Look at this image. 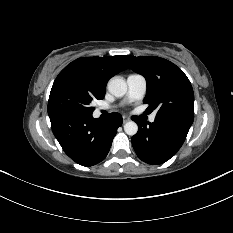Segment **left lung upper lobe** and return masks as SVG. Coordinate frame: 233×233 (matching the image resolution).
I'll return each mask as SVG.
<instances>
[{"mask_svg": "<svg viewBox=\"0 0 233 233\" xmlns=\"http://www.w3.org/2000/svg\"><path fill=\"white\" fill-rule=\"evenodd\" d=\"M128 66L147 82L146 112L157 109V116L173 117L193 123L194 93L184 72L172 62L159 57L122 56Z\"/></svg>", "mask_w": 233, "mask_h": 233, "instance_id": "5c2ea615", "label": "left lung upper lobe"}]
</instances>
